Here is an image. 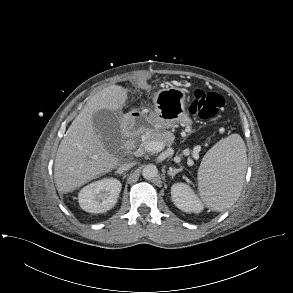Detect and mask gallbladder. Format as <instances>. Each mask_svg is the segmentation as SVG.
I'll list each match as a JSON object with an SVG mask.
<instances>
[{
	"instance_id": "bac80fb5",
	"label": "gallbladder",
	"mask_w": 293,
	"mask_h": 293,
	"mask_svg": "<svg viewBox=\"0 0 293 293\" xmlns=\"http://www.w3.org/2000/svg\"><path fill=\"white\" fill-rule=\"evenodd\" d=\"M93 125L105 146L120 138L119 118L117 114L108 109H101L93 115Z\"/></svg>"
}]
</instances>
